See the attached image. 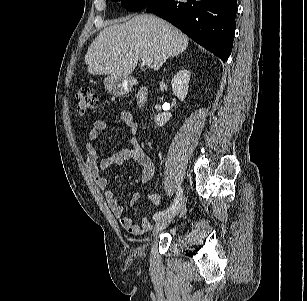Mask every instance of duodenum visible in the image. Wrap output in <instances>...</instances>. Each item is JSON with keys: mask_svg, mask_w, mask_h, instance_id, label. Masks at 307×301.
Listing matches in <instances>:
<instances>
[{"mask_svg": "<svg viewBox=\"0 0 307 301\" xmlns=\"http://www.w3.org/2000/svg\"><path fill=\"white\" fill-rule=\"evenodd\" d=\"M148 102V89L145 86L139 88L137 93V103L139 106H145Z\"/></svg>", "mask_w": 307, "mask_h": 301, "instance_id": "1", "label": "duodenum"}]
</instances>
